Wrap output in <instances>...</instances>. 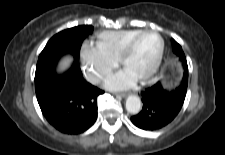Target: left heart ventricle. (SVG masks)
<instances>
[{"label": "left heart ventricle", "instance_id": "1", "mask_svg": "<svg viewBox=\"0 0 225 155\" xmlns=\"http://www.w3.org/2000/svg\"><path fill=\"white\" fill-rule=\"evenodd\" d=\"M160 49V40L155 34H146L136 43L124 63V69L137 79L146 75L155 63Z\"/></svg>", "mask_w": 225, "mask_h": 155}]
</instances>
